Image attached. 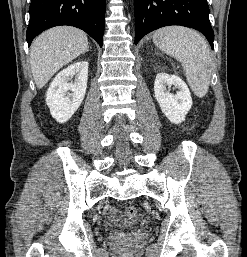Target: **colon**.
Returning a JSON list of instances; mask_svg holds the SVG:
<instances>
[{"label": "colon", "mask_w": 247, "mask_h": 257, "mask_svg": "<svg viewBox=\"0 0 247 257\" xmlns=\"http://www.w3.org/2000/svg\"><path fill=\"white\" fill-rule=\"evenodd\" d=\"M125 215L129 219H135L137 216V208L133 205H129L125 208Z\"/></svg>", "instance_id": "colon-1"}]
</instances>
